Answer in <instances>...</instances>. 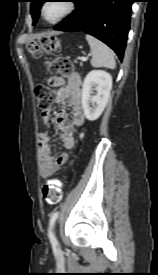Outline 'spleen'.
I'll list each match as a JSON object with an SVG mask.
<instances>
[{
    "label": "spleen",
    "mask_w": 158,
    "mask_h": 275,
    "mask_svg": "<svg viewBox=\"0 0 158 275\" xmlns=\"http://www.w3.org/2000/svg\"><path fill=\"white\" fill-rule=\"evenodd\" d=\"M86 39L92 52V66L115 69L116 62L113 51L103 42L91 35H86Z\"/></svg>",
    "instance_id": "1"
}]
</instances>
